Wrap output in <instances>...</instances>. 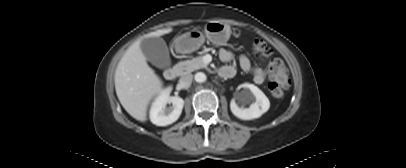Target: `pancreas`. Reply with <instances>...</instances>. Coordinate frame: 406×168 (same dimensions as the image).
I'll return each mask as SVG.
<instances>
[{
    "mask_svg": "<svg viewBox=\"0 0 406 168\" xmlns=\"http://www.w3.org/2000/svg\"><path fill=\"white\" fill-rule=\"evenodd\" d=\"M182 73L193 72L201 68H205L206 64L203 62L201 57H196L191 60L183 61L177 65Z\"/></svg>",
    "mask_w": 406,
    "mask_h": 168,
    "instance_id": "obj_1",
    "label": "pancreas"
}]
</instances>
